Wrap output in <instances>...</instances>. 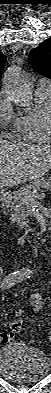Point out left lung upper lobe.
<instances>
[{"instance_id":"obj_1","label":"left lung upper lobe","mask_w":51,"mask_h":393,"mask_svg":"<svg viewBox=\"0 0 51 393\" xmlns=\"http://www.w3.org/2000/svg\"><path fill=\"white\" fill-rule=\"evenodd\" d=\"M32 68L39 74L51 79V38L43 41L29 55Z\"/></svg>"}]
</instances>
